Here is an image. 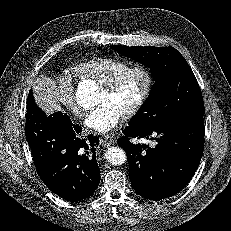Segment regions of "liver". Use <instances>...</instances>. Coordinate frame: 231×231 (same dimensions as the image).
<instances>
[{"label": "liver", "instance_id": "liver-1", "mask_svg": "<svg viewBox=\"0 0 231 231\" xmlns=\"http://www.w3.org/2000/svg\"><path fill=\"white\" fill-rule=\"evenodd\" d=\"M32 88L35 102L47 115L62 110L52 79L45 76L36 78Z\"/></svg>", "mask_w": 231, "mask_h": 231}]
</instances>
